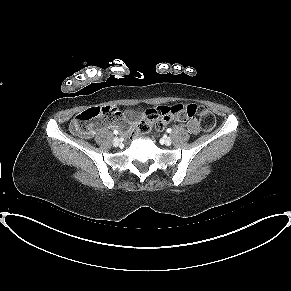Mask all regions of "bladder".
I'll return each mask as SVG.
<instances>
[{"instance_id":"obj_1","label":"bladder","mask_w":291,"mask_h":291,"mask_svg":"<svg viewBox=\"0 0 291 291\" xmlns=\"http://www.w3.org/2000/svg\"><path fill=\"white\" fill-rule=\"evenodd\" d=\"M134 118H136V113L134 111H131L130 113L127 114V119L130 120H134Z\"/></svg>"}]
</instances>
